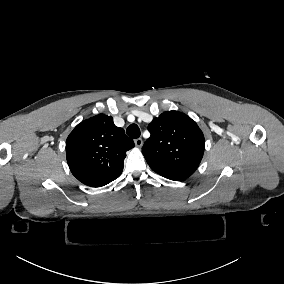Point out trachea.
Listing matches in <instances>:
<instances>
[{
    "label": "trachea",
    "instance_id": "3493384b",
    "mask_svg": "<svg viewBox=\"0 0 284 284\" xmlns=\"http://www.w3.org/2000/svg\"><path fill=\"white\" fill-rule=\"evenodd\" d=\"M126 133L129 137L133 138V139H137L138 137H140V129L138 127L137 124H131L128 126Z\"/></svg>",
    "mask_w": 284,
    "mask_h": 284
}]
</instances>
